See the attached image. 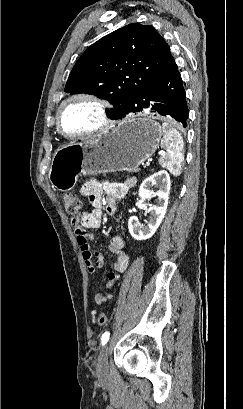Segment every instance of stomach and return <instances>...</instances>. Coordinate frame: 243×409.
<instances>
[{"label": "stomach", "instance_id": "obj_1", "mask_svg": "<svg viewBox=\"0 0 243 409\" xmlns=\"http://www.w3.org/2000/svg\"><path fill=\"white\" fill-rule=\"evenodd\" d=\"M162 136V127L154 118L127 117L108 133L59 148L49 180L57 190L68 191L80 175L133 171L154 154Z\"/></svg>", "mask_w": 243, "mask_h": 409}]
</instances>
